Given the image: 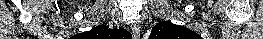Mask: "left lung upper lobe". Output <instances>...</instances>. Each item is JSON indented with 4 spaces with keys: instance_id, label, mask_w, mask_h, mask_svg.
<instances>
[{
    "instance_id": "left-lung-upper-lobe-1",
    "label": "left lung upper lobe",
    "mask_w": 263,
    "mask_h": 39,
    "mask_svg": "<svg viewBox=\"0 0 263 39\" xmlns=\"http://www.w3.org/2000/svg\"><path fill=\"white\" fill-rule=\"evenodd\" d=\"M149 39H202L188 28L163 21L153 27Z\"/></svg>"
}]
</instances>
